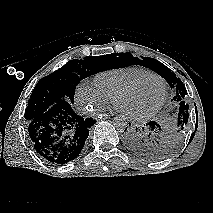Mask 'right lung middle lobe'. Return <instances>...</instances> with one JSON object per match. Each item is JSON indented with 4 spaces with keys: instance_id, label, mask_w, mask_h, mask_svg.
Instances as JSON below:
<instances>
[{
    "instance_id": "obj_1",
    "label": "right lung middle lobe",
    "mask_w": 213,
    "mask_h": 213,
    "mask_svg": "<svg viewBox=\"0 0 213 213\" xmlns=\"http://www.w3.org/2000/svg\"><path fill=\"white\" fill-rule=\"evenodd\" d=\"M114 55L115 53L102 57L88 56L84 60L74 59L42 78L33 89L26 107V122L40 116L61 100L73 104L75 88L80 80L111 68V57Z\"/></svg>"
}]
</instances>
